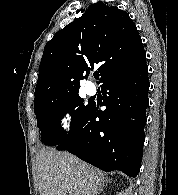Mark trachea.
<instances>
[{
  "mask_svg": "<svg viewBox=\"0 0 178 195\" xmlns=\"http://www.w3.org/2000/svg\"><path fill=\"white\" fill-rule=\"evenodd\" d=\"M94 77H95L96 79H98V78H99V74H96Z\"/></svg>",
  "mask_w": 178,
  "mask_h": 195,
  "instance_id": "3493384b",
  "label": "trachea"
}]
</instances>
